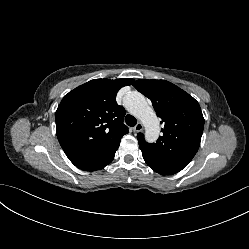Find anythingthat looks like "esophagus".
<instances>
[{"instance_id":"1","label":"esophagus","mask_w":249,"mask_h":249,"mask_svg":"<svg viewBox=\"0 0 249 249\" xmlns=\"http://www.w3.org/2000/svg\"><path fill=\"white\" fill-rule=\"evenodd\" d=\"M134 132H141L143 131V124L141 122H138L136 126L133 128Z\"/></svg>"}]
</instances>
